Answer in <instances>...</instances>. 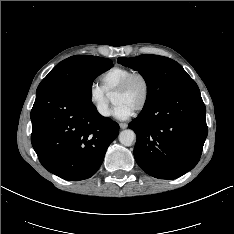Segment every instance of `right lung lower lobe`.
Here are the masks:
<instances>
[{"label": "right lung lower lobe", "instance_id": "98d812e1", "mask_svg": "<svg viewBox=\"0 0 234 234\" xmlns=\"http://www.w3.org/2000/svg\"><path fill=\"white\" fill-rule=\"evenodd\" d=\"M31 143L49 172L84 180L101 166L119 125L67 90L36 94L31 110Z\"/></svg>", "mask_w": 234, "mask_h": 234}]
</instances>
